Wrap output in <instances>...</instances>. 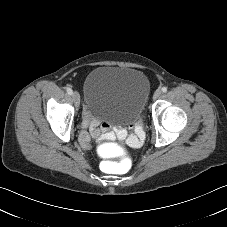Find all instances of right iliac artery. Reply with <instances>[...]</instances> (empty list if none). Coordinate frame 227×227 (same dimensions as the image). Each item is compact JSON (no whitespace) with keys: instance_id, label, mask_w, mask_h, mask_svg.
Returning <instances> with one entry per match:
<instances>
[{"instance_id":"1","label":"right iliac artery","mask_w":227,"mask_h":227,"mask_svg":"<svg viewBox=\"0 0 227 227\" xmlns=\"http://www.w3.org/2000/svg\"><path fill=\"white\" fill-rule=\"evenodd\" d=\"M67 93L70 94V95H72V93H73L72 89L68 87L67 88Z\"/></svg>"}]
</instances>
